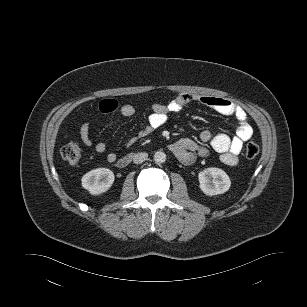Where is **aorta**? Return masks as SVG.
I'll return each instance as SVG.
<instances>
[{
	"mask_svg": "<svg viewBox=\"0 0 307 307\" xmlns=\"http://www.w3.org/2000/svg\"><path fill=\"white\" fill-rule=\"evenodd\" d=\"M154 161L157 163V164H162L166 161V154L162 151H157L155 154H154Z\"/></svg>",
	"mask_w": 307,
	"mask_h": 307,
	"instance_id": "762f6f07",
	"label": "aorta"
}]
</instances>
